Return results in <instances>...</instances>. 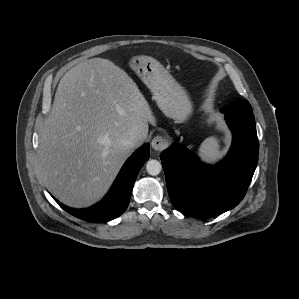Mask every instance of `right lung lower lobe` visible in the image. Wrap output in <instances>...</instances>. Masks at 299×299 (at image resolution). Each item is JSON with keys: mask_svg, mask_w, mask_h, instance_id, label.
Instances as JSON below:
<instances>
[{"mask_svg": "<svg viewBox=\"0 0 299 299\" xmlns=\"http://www.w3.org/2000/svg\"><path fill=\"white\" fill-rule=\"evenodd\" d=\"M149 143L139 148L122 167L108 196L96 206L75 210L58 204L71 215L88 222H106L119 217L127 208L139 170L149 159Z\"/></svg>", "mask_w": 299, "mask_h": 299, "instance_id": "obj_1", "label": "right lung lower lobe"}]
</instances>
